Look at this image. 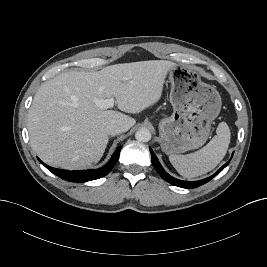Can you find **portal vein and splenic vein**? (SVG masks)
I'll return each mask as SVG.
<instances>
[{
  "label": "portal vein and splenic vein",
  "mask_w": 267,
  "mask_h": 267,
  "mask_svg": "<svg viewBox=\"0 0 267 267\" xmlns=\"http://www.w3.org/2000/svg\"><path fill=\"white\" fill-rule=\"evenodd\" d=\"M114 98L109 99H96L95 103L101 108V109H108L112 108L114 106Z\"/></svg>",
  "instance_id": "18ae733b"
}]
</instances>
